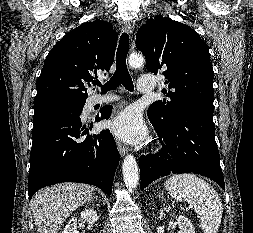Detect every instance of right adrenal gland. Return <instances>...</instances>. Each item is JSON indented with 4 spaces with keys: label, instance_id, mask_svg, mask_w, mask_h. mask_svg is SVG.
<instances>
[{
    "label": "right adrenal gland",
    "instance_id": "1",
    "mask_svg": "<svg viewBox=\"0 0 253 233\" xmlns=\"http://www.w3.org/2000/svg\"><path fill=\"white\" fill-rule=\"evenodd\" d=\"M94 198H98V196L95 195Z\"/></svg>",
    "mask_w": 253,
    "mask_h": 233
}]
</instances>
